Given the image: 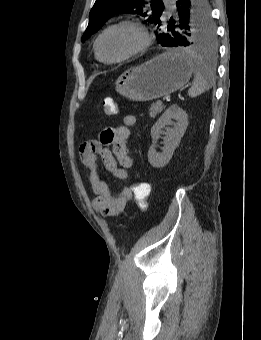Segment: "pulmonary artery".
I'll return each mask as SVG.
<instances>
[{
	"instance_id": "pulmonary-artery-1",
	"label": "pulmonary artery",
	"mask_w": 261,
	"mask_h": 340,
	"mask_svg": "<svg viewBox=\"0 0 261 340\" xmlns=\"http://www.w3.org/2000/svg\"><path fill=\"white\" fill-rule=\"evenodd\" d=\"M166 7L168 9L167 13L170 14L173 9V0H165Z\"/></svg>"
}]
</instances>
